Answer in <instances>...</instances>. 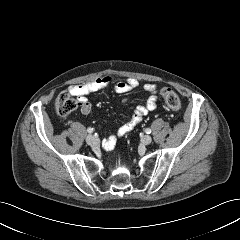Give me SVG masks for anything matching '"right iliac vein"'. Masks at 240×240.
<instances>
[{
  "mask_svg": "<svg viewBox=\"0 0 240 240\" xmlns=\"http://www.w3.org/2000/svg\"><path fill=\"white\" fill-rule=\"evenodd\" d=\"M87 144L94 146L98 143V139L94 135H88L86 137Z\"/></svg>",
  "mask_w": 240,
  "mask_h": 240,
  "instance_id": "right-iliac-vein-1",
  "label": "right iliac vein"
}]
</instances>
